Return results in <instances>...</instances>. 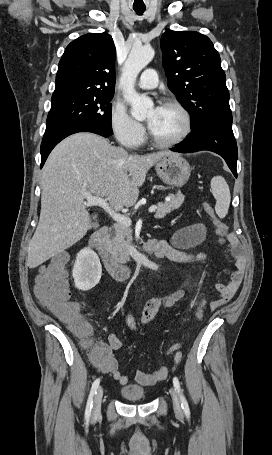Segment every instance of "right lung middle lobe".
<instances>
[{
    "mask_svg": "<svg viewBox=\"0 0 272 455\" xmlns=\"http://www.w3.org/2000/svg\"><path fill=\"white\" fill-rule=\"evenodd\" d=\"M113 95L78 96L52 100L46 129L61 125L90 123L112 134L110 103Z\"/></svg>",
    "mask_w": 272,
    "mask_h": 455,
    "instance_id": "dd1d6c3e",
    "label": "right lung middle lobe"
}]
</instances>
